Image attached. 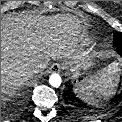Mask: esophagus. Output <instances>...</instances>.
Masks as SVG:
<instances>
[{"mask_svg":"<svg viewBox=\"0 0 122 122\" xmlns=\"http://www.w3.org/2000/svg\"><path fill=\"white\" fill-rule=\"evenodd\" d=\"M61 69L62 65L60 63H53L49 68V72L50 73L60 72Z\"/></svg>","mask_w":122,"mask_h":122,"instance_id":"esophagus-1","label":"esophagus"}]
</instances>
